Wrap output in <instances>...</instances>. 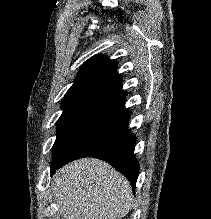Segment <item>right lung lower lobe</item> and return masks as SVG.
<instances>
[{"label": "right lung lower lobe", "instance_id": "right-lung-lower-lobe-1", "mask_svg": "<svg viewBox=\"0 0 211 219\" xmlns=\"http://www.w3.org/2000/svg\"><path fill=\"white\" fill-rule=\"evenodd\" d=\"M129 118V110L124 106L120 107L57 162L51 169V174L73 160L95 157L120 171L135 188L139 163L134 155L135 136L128 129Z\"/></svg>", "mask_w": 211, "mask_h": 219}]
</instances>
